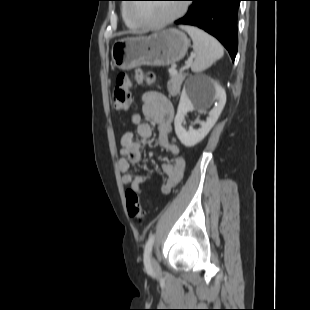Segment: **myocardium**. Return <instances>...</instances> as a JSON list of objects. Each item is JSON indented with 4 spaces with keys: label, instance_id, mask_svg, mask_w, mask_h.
Masks as SVG:
<instances>
[{
    "label": "myocardium",
    "instance_id": "myocardium-1",
    "mask_svg": "<svg viewBox=\"0 0 310 310\" xmlns=\"http://www.w3.org/2000/svg\"><path fill=\"white\" fill-rule=\"evenodd\" d=\"M131 8H132V4H128L127 5V15L133 22H135L140 27L148 28V29H152V30H157V29H161V28H164V27L172 24L173 22H175L176 20H178L182 16H184L188 10V5L185 2L182 3L176 14H174L173 16H171V17H169V18H167L161 22H148V21H144L140 18H137L136 16L132 15Z\"/></svg>",
    "mask_w": 310,
    "mask_h": 310
}]
</instances>
